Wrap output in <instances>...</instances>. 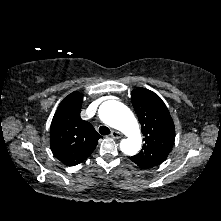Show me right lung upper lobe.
Masks as SVG:
<instances>
[{
  "label": "right lung upper lobe",
  "mask_w": 221,
  "mask_h": 221,
  "mask_svg": "<svg viewBox=\"0 0 221 221\" xmlns=\"http://www.w3.org/2000/svg\"><path fill=\"white\" fill-rule=\"evenodd\" d=\"M83 96L75 91L58 106L50 128V146L54 156L68 166L84 161L96 148L99 135L80 117Z\"/></svg>",
  "instance_id": "obj_1"
}]
</instances>
